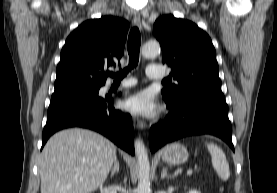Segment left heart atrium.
<instances>
[{
    "label": "left heart atrium",
    "instance_id": "39dd6f15",
    "mask_svg": "<svg viewBox=\"0 0 277 193\" xmlns=\"http://www.w3.org/2000/svg\"><path fill=\"white\" fill-rule=\"evenodd\" d=\"M124 107L134 115L151 116L155 112V103L148 91H140L130 96L125 102Z\"/></svg>",
    "mask_w": 277,
    "mask_h": 193
}]
</instances>
